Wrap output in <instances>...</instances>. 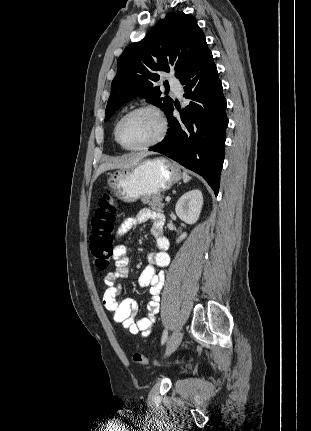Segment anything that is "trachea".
Listing matches in <instances>:
<instances>
[{"mask_svg":"<svg viewBox=\"0 0 311 431\" xmlns=\"http://www.w3.org/2000/svg\"><path fill=\"white\" fill-rule=\"evenodd\" d=\"M166 88V91H169V87H165Z\"/></svg>","mask_w":311,"mask_h":431,"instance_id":"1","label":"trachea"}]
</instances>
